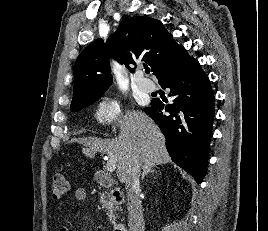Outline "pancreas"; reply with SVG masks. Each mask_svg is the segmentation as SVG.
Wrapping results in <instances>:
<instances>
[{
  "label": "pancreas",
  "mask_w": 268,
  "mask_h": 231,
  "mask_svg": "<svg viewBox=\"0 0 268 231\" xmlns=\"http://www.w3.org/2000/svg\"><path fill=\"white\" fill-rule=\"evenodd\" d=\"M100 203L102 208L106 210V214L110 222L114 223L117 219L116 211L119 209V202L112 196L111 191H105L101 193Z\"/></svg>",
  "instance_id": "obj_1"
}]
</instances>
